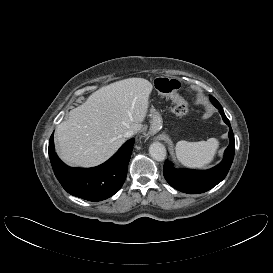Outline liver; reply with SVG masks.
Segmentation results:
<instances>
[{
	"label": "liver",
	"instance_id": "obj_1",
	"mask_svg": "<svg viewBox=\"0 0 273 273\" xmlns=\"http://www.w3.org/2000/svg\"><path fill=\"white\" fill-rule=\"evenodd\" d=\"M152 89L146 79L128 78L95 91L57 126L60 158L81 167L105 162L125 142L127 130H141Z\"/></svg>",
	"mask_w": 273,
	"mask_h": 273
}]
</instances>
